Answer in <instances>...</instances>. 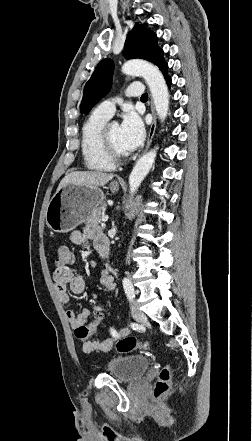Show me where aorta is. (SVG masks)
<instances>
[{
	"label": "aorta",
	"instance_id": "1",
	"mask_svg": "<svg viewBox=\"0 0 252 441\" xmlns=\"http://www.w3.org/2000/svg\"><path fill=\"white\" fill-rule=\"evenodd\" d=\"M122 72L126 75H140L146 80L150 88L157 115L163 122L168 114L169 92L160 70L146 61L130 60L123 64ZM156 154V149H152L144 154L135 164L129 176L131 198L152 168Z\"/></svg>",
	"mask_w": 252,
	"mask_h": 441
}]
</instances>
